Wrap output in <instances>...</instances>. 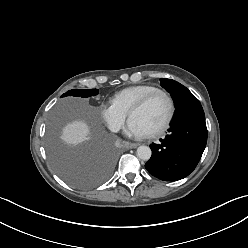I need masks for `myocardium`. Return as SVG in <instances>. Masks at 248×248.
Here are the masks:
<instances>
[{
    "label": "myocardium",
    "instance_id": "1",
    "mask_svg": "<svg viewBox=\"0 0 248 248\" xmlns=\"http://www.w3.org/2000/svg\"><path fill=\"white\" fill-rule=\"evenodd\" d=\"M158 95L163 96L165 100L167 101L168 113H167L165 120L162 122V124L158 128H156L152 132L147 133V136L150 138H155L163 134L169 128L173 120V117L175 114V103L171 95L162 89L154 90L146 94L145 96H143L141 99H139L128 111V116L129 118H131L134 112L144 108L154 97Z\"/></svg>",
    "mask_w": 248,
    "mask_h": 248
}]
</instances>
